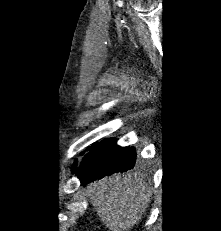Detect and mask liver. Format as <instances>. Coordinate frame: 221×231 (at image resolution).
<instances>
[{
  "mask_svg": "<svg viewBox=\"0 0 221 231\" xmlns=\"http://www.w3.org/2000/svg\"><path fill=\"white\" fill-rule=\"evenodd\" d=\"M152 187L137 172L114 174L88 186L90 202L111 231L131 229L150 202Z\"/></svg>",
  "mask_w": 221,
  "mask_h": 231,
  "instance_id": "obj_1",
  "label": "liver"
}]
</instances>
